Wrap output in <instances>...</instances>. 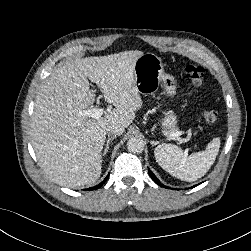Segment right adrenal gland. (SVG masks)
<instances>
[{
	"instance_id": "1",
	"label": "right adrenal gland",
	"mask_w": 251,
	"mask_h": 251,
	"mask_svg": "<svg viewBox=\"0 0 251 251\" xmlns=\"http://www.w3.org/2000/svg\"><path fill=\"white\" fill-rule=\"evenodd\" d=\"M115 138H116V135L113 136V137H111V138H108L107 143H106V147H105V149H104L103 156H105V155L108 153L110 142H111L112 140H114Z\"/></svg>"
}]
</instances>
